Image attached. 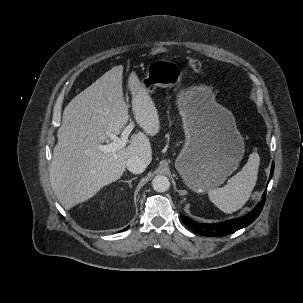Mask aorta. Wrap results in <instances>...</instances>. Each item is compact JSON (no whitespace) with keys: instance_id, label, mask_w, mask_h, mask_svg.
I'll return each instance as SVG.
<instances>
[{"instance_id":"aorta-1","label":"aorta","mask_w":303,"mask_h":303,"mask_svg":"<svg viewBox=\"0 0 303 303\" xmlns=\"http://www.w3.org/2000/svg\"><path fill=\"white\" fill-rule=\"evenodd\" d=\"M153 189L157 192H165L170 187L169 179L164 175L155 176L152 180Z\"/></svg>"}]
</instances>
